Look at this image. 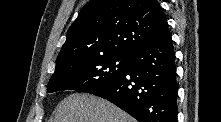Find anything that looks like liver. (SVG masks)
Masks as SVG:
<instances>
[{
	"label": "liver",
	"instance_id": "1",
	"mask_svg": "<svg viewBox=\"0 0 221 122\" xmlns=\"http://www.w3.org/2000/svg\"><path fill=\"white\" fill-rule=\"evenodd\" d=\"M54 122H134V118L105 99L74 93L60 102Z\"/></svg>",
	"mask_w": 221,
	"mask_h": 122
}]
</instances>
